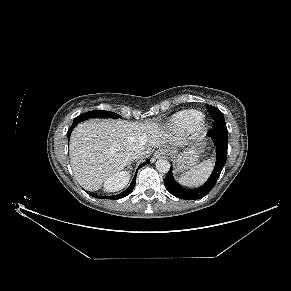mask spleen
Segmentation results:
<instances>
[{"label":"spleen","instance_id":"obj_1","mask_svg":"<svg viewBox=\"0 0 291 291\" xmlns=\"http://www.w3.org/2000/svg\"><path fill=\"white\" fill-rule=\"evenodd\" d=\"M214 166L213 159H207L193 167L185 175L178 178V182L186 187H197L209 177Z\"/></svg>","mask_w":291,"mask_h":291}]
</instances>
